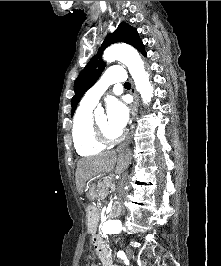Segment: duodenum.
Listing matches in <instances>:
<instances>
[{
    "label": "duodenum",
    "mask_w": 221,
    "mask_h": 266,
    "mask_svg": "<svg viewBox=\"0 0 221 266\" xmlns=\"http://www.w3.org/2000/svg\"><path fill=\"white\" fill-rule=\"evenodd\" d=\"M120 213H121V207H120V205L117 204V203H114L112 205L111 209H110V214L112 216H118V215H120ZM93 226H94V221L93 220H90L88 222V227L92 229Z\"/></svg>",
    "instance_id": "obj_1"
}]
</instances>
